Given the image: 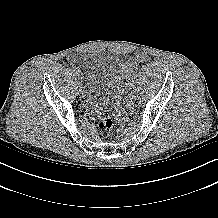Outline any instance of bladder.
I'll use <instances>...</instances> for the list:
<instances>
[{
	"instance_id": "obj_1",
	"label": "bladder",
	"mask_w": 218,
	"mask_h": 218,
	"mask_svg": "<svg viewBox=\"0 0 218 218\" xmlns=\"http://www.w3.org/2000/svg\"><path fill=\"white\" fill-rule=\"evenodd\" d=\"M78 62L84 72L86 105L96 112L108 111L113 105L117 85L128 72L127 63L112 54L81 55Z\"/></svg>"
}]
</instances>
